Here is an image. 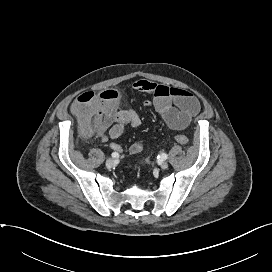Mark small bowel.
Wrapping results in <instances>:
<instances>
[{"mask_svg":"<svg viewBox=\"0 0 272 272\" xmlns=\"http://www.w3.org/2000/svg\"><path fill=\"white\" fill-rule=\"evenodd\" d=\"M133 88L152 96V101L147 102L146 105L152 104L168 127L173 130H184L190 125L193 117L200 112L201 105L198 99L184 89L168 87L144 79L135 81ZM140 124L141 120L138 114L132 109H127L118 112L102 129H108V138L111 140L110 147L114 151L122 153V147L115 140L123 134L127 125L136 128ZM142 150L143 143L139 140L133 142L129 147L132 154L140 153Z\"/></svg>","mask_w":272,"mask_h":272,"instance_id":"1","label":"small bowel"}]
</instances>
